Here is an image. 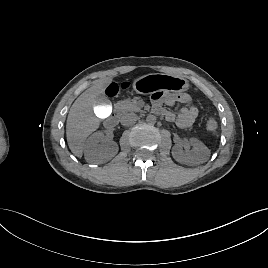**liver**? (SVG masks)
I'll return each mask as SVG.
<instances>
[{
  "mask_svg": "<svg viewBox=\"0 0 268 268\" xmlns=\"http://www.w3.org/2000/svg\"><path fill=\"white\" fill-rule=\"evenodd\" d=\"M111 80L106 78L85 90L70 108L66 122V137L71 152L77 157H82L86 138L100 125L94 109Z\"/></svg>",
  "mask_w": 268,
  "mask_h": 268,
  "instance_id": "obj_1",
  "label": "liver"
}]
</instances>
